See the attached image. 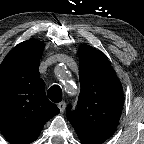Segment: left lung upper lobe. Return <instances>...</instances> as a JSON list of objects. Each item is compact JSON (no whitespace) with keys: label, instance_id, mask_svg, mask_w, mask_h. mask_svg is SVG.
I'll return each instance as SVG.
<instances>
[{"label":"left lung upper lobe","instance_id":"5c2ea615","mask_svg":"<svg viewBox=\"0 0 144 144\" xmlns=\"http://www.w3.org/2000/svg\"><path fill=\"white\" fill-rule=\"evenodd\" d=\"M81 91L78 108L67 106V117L82 144H102L115 132L124 94L106 56L87 44L78 50Z\"/></svg>","mask_w":144,"mask_h":144}]
</instances>
